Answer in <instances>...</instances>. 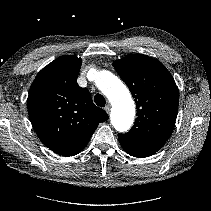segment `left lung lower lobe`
Segmentation results:
<instances>
[{"instance_id":"0a47b994","label":"left lung lower lobe","mask_w":211,"mask_h":211,"mask_svg":"<svg viewBox=\"0 0 211 211\" xmlns=\"http://www.w3.org/2000/svg\"><path fill=\"white\" fill-rule=\"evenodd\" d=\"M121 147L134 157L144 158L160 150L166 142L142 141L118 135Z\"/></svg>"}]
</instances>
